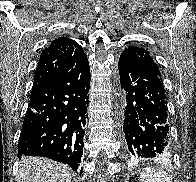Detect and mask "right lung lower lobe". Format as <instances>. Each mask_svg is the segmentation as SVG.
Listing matches in <instances>:
<instances>
[{
	"mask_svg": "<svg viewBox=\"0 0 196 182\" xmlns=\"http://www.w3.org/2000/svg\"><path fill=\"white\" fill-rule=\"evenodd\" d=\"M90 69L87 56L31 92L18 156H43L79 169ZM82 168L80 170V173Z\"/></svg>",
	"mask_w": 196,
	"mask_h": 182,
	"instance_id": "right-lung-lower-lobe-1",
	"label": "right lung lower lobe"
}]
</instances>
